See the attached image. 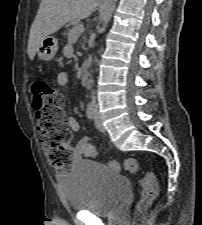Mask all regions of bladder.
I'll list each match as a JSON object with an SVG mask.
<instances>
[{
	"mask_svg": "<svg viewBox=\"0 0 202 225\" xmlns=\"http://www.w3.org/2000/svg\"><path fill=\"white\" fill-rule=\"evenodd\" d=\"M62 188L73 211L99 217L117 213L132 190L131 182L119 172L92 159H81L63 177Z\"/></svg>",
	"mask_w": 202,
	"mask_h": 225,
	"instance_id": "1",
	"label": "bladder"
}]
</instances>
